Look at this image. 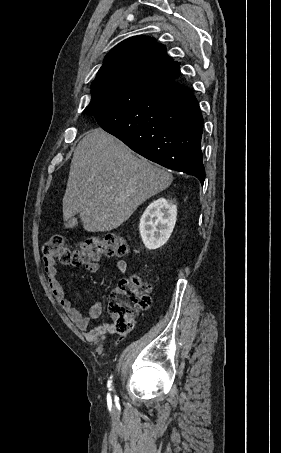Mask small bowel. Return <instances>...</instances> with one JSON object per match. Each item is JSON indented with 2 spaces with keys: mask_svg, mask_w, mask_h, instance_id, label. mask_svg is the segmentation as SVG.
<instances>
[{
  "mask_svg": "<svg viewBox=\"0 0 281 453\" xmlns=\"http://www.w3.org/2000/svg\"><path fill=\"white\" fill-rule=\"evenodd\" d=\"M117 269L120 274H125L128 270V264L125 260L117 261ZM89 272H97L98 264L96 262L87 263ZM44 272L46 274L49 289L53 295L59 300L62 308L73 320L80 331L83 332L84 338L88 341L99 343L107 339L108 335L113 332L114 325L112 323H101L92 329H88L92 320L99 318L103 311V303L97 301L89 308V315L85 316L73 305L72 301L65 295L62 284L58 279V272L53 260L44 261Z\"/></svg>",
  "mask_w": 281,
  "mask_h": 453,
  "instance_id": "small-bowel-1",
  "label": "small bowel"
}]
</instances>
